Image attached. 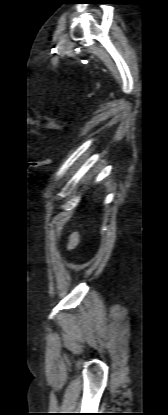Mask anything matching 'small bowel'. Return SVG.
<instances>
[{"mask_svg":"<svg viewBox=\"0 0 168 415\" xmlns=\"http://www.w3.org/2000/svg\"><path fill=\"white\" fill-rule=\"evenodd\" d=\"M78 241H79V238L77 234L71 235L68 241V248L74 249L77 246Z\"/></svg>","mask_w":168,"mask_h":415,"instance_id":"obj_1","label":"small bowel"}]
</instances>
